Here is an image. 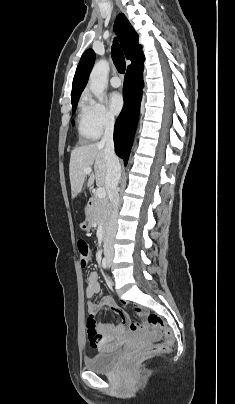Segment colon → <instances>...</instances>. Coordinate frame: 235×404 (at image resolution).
<instances>
[{
	"label": "colon",
	"instance_id": "obj_1",
	"mask_svg": "<svg viewBox=\"0 0 235 404\" xmlns=\"http://www.w3.org/2000/svg\"><path fill=\"white\" fill-rule=\"evenodd\" d=\"M78 253L80 256V265L85 268L91 258V251L89 245L86 241L80 240L77 244ZM135 313L142 321H134L130 324L131 329L146 330V332L151 335L154 339L160 340L162 342L153 345L152 351L165 352L172 345L174 338L171 330L167 326L164 319L158 314L148 312L146 309L141 307H135ZM96 322L93 318H88L87 320V332L88 337L92 343L99 342L98 335L95 331ZM132 358L127 357L126 360L130 361Z\"/></svg>",
	"mask_w": 235,
	"mask_h": 404
}]
</instances>
